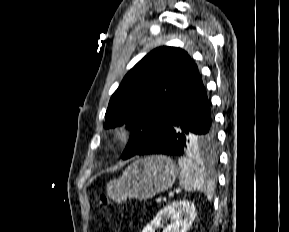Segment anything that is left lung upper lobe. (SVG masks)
Masks as SVG:
<instances>
[{"instance_id":"obj_1","label":"left lung upper lobe","mask_w":289,"mask_h":232,"mask_svg":"<svg viewBox=\"0 0 289 232\" xmlns=\"http://www.w3.org/2000/svg\"><path fill=\"white\" fill-rule=\"evenodd\" d=\"M199 79L187 52L167 46L148 53L126 74L110 99L104 124L111 128L127 123L132 130L122 159L134 156L157 136ZM215 148L216 141L208 151Z\"/></svg>"}]
</instances>
